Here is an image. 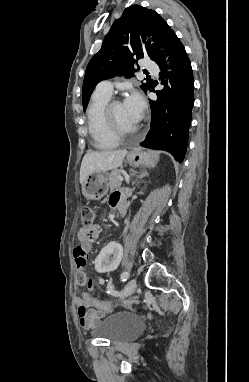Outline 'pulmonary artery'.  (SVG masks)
Here are the masks:
<instances>
[{
    "instance_id": "1",
    "label": "pulmonary artery",
    "mask_w": 249,
    "mask_h": 382,
    "mask_svg": "<svg viewBox=\"0 0 249 382\" xmlns=\"http://www.w3.org/2000/svg\"><path fill=\"white\" fill-rule=\"evenodd\" d=\"M143 67H144L145 69H147V70H149V71H153V72H157V70H158L156 64H154L153 62H150V61H145ZM96 91L111 96L112 93H113V85H112V82H110V81H108V80H105V81L100 82V83L97 85Z\"/></svg>"
}]
</instances>
